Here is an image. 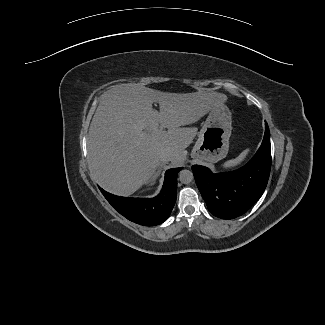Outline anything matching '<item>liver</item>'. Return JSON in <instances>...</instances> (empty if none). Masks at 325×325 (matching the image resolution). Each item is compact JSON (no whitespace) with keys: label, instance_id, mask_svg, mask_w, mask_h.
<instances>
[{"label":"liver","instance_id":"liver-1","mask_svg":"<svg viewBox=\"0 0 325 325\" xmlns=\"http://www.w3.org/2000/svg\"><path fill=\"white\" fill-rule=\"evenodd\" d=\"M227 99L218 92L178 94L140 84L111 86L100 97L88 133L93 179L105 190L126 196L154 175L162 151L173 154L174 166L181 165L197 134V128L181 126L195 123ZM153 102L159 103L160 112L152 108ZM159 125L168 130H158Z\"/></svg>","mask_w":325,"mask_h":325}]
</instances>
